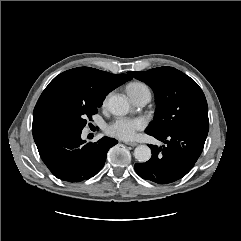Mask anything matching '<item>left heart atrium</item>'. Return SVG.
<instances>
[{"mask_svg":"<svg viewBox=\"0 0 241 241\" xmlns=\"http://www.w3.org/2000/svg\"><path fill=\"white\" fill-rule=\"evenodd\" d=\"M142 118L118 117L106 126V132L110 136L123 140H130L136 136L137 131L145 127Z\"/></svg>","mask_w":241,"mask_h":241,"instance_id":"39dd6f15","label":"left heart atrium"}]
</instances>
